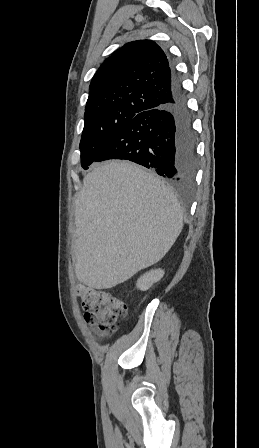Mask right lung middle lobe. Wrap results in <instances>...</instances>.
<instances>
[{"instance_id":"right-lung-middle-lobe-1","label":"right lung middle lobe","mask_w":259,"mask_h":448,"mask_svg":"<svg viewBox=\"0 0 259 448\" xmlns=\"http://www.w3.org/2000/svg\"><path fill=\"white\" fill-rule=\"evenodd\" d=\"M139 113L141 112L123 111L85 114V124L80 141L81 166L87 169L119 131Z\"/></svg>"}]
</instances>
